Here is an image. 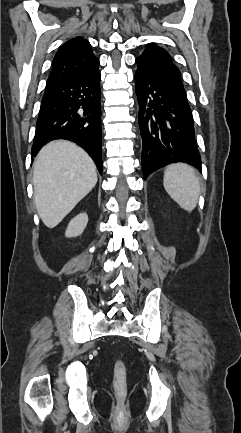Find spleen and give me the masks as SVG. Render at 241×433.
Masks as SVG:
<instances>
[{
	"label": "spleen",
	"mask_w": 241,
	"mask_h": 433,
	"mask_svg": "<svg viewBox=\"0 0 241 433\" xmlns=\"http://www.w3.org/2000/svg\"><path fill=\"white\" fill-rule=\"evenodd\" d=\"M163 185L169 196L184 210L192 212L198 202L200 183L195 170L185 163L169 165Z\"/></svg>",
	"instance_id": "spleen-1"
}]
</instances>
